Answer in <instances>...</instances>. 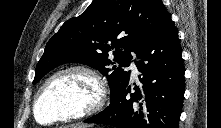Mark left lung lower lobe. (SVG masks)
Listing matches in <instances>:
<instances>
[{"label": "left lung lower lobe", "instance_id": "1", "mask_svg": "<svg viewBox=\"0 0 221 128\" xmlns=\"http://www.w3.org/2000/svg\"><path fill=\"white\" fill-rule=\"evenodd\" d=\"M136 56L143 86H135L127 99L131 88L126 85L107 108L84 122L115 128H178L185 92L184 66L178 31L170 14Z\"/></svg>", "mask_w": 221, "mask_h": 128}]
</instances>
